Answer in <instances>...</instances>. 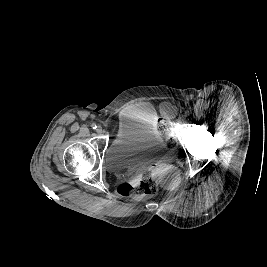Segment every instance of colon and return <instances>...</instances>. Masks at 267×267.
I'll return each instance as SVG.
<instances>
[{
	"instance_id": "colon-1",
	"label": "colon",
	"mask_w": 267,
	"mask_h": 267,
	"mask_svg": "<svg viewBox=\"0 0 267 267\" xmlns=\"http://www.w3.org/2000/svg\"><path fill=\"white\" fill-rule=\"evenodd\" d=\"M159 183L152 169H145L134 185L123 183L119 193L124 196L154 195L158 192Z\"/></svg>"
}]
</instances>
